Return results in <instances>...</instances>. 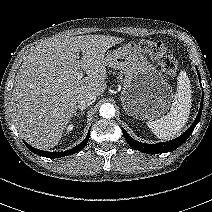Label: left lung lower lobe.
Instances as JSON below:
<instances>
[{"mask_svg": "<svg viewBox=\"0 0 212 212\" xmlns=\"http://www.w3.org/2000/svg\"><path fill=\"white\" fill-rule=\"evenodd\" d=\"M198 76H199V80L201 82V77H200L199 73H198ZM202 105H203V95H202V99H201L199 113H198L195 121L190 126V128H188L187 131H185V133H183L181 136L177 137L174 140H171L169 142H161V143H157V144H145V143H141V142L134 140L122 128L124 138L132 148L139 150L141 152L148 153V154H159V153H166V152L173 151V150L177 149L179 146H181L193 132L195 126L197 125V123L200 120V117L202 114Z\"/></svg>", "mask_w": 212, "mask_h": 212, "instance_id": "1", "label": "left lung lower lobe"}]
</instances>
